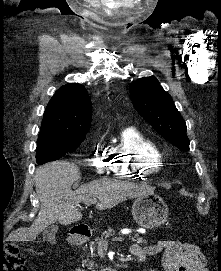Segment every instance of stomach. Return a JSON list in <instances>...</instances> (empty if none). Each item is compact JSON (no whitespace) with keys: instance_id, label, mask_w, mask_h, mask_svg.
Here are the masks:
<instances>
[{"instance_id":"stomach-1","label":"stomach","mask_w":221,"mask_h":271,"mask_svg":"<svg viewBox=\"0 0 221 271\" xmlns=\"http://www.w3.org/2000/svg\"><path fill=\"white\" fill-rule=\"evenodd\" d=\"M132 215L141 227L153 229L167 221L168 207L158 195H139L132 205Z\"/></svg>"}]
</instances>
